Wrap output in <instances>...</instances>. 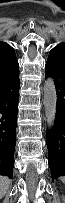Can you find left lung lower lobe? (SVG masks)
I'll use <instances>...</instances> for the list:
<instances>
[{"label": "left lung lower lobe", "instance_id": "1", "mask_svg": "<svg viewBox=\"0 0 65 203\" xmlns=\"http://www.w3.org/2000/svg\"><path fill=\"white\" fill-rule=\"evenodd\" d=\"M45 76L54 79L57 92L55 124L46 138L48 164L54 180L65 176V44H59L50 51Z\"/></svg>", "mask_w": 65, "mask_h": 203}]
</instances>
